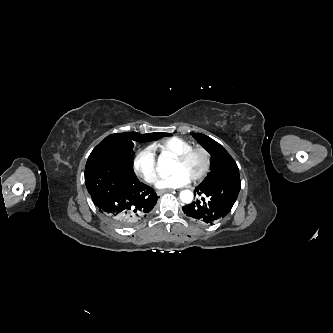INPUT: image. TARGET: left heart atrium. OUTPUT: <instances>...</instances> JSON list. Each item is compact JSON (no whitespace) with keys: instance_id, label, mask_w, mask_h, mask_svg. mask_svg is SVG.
I'll list each match as a JSON object with an SVG mask.
<instances>
[{"instance_id":"39dd6f15","label":"left heart atrium","mask_w":333,"mask_h":333,"mask_svg":"<svg viewBox=\"0 0 333 333\" xmlns=\"http://www.w3.org/2000/svg\"><path fill=\"white\" fill-rule=\"evenodd\" d=\"M190 178L182 171H177L170 176L160 179L157 183L158 188H179L187 185Z\"/></svg>"}]
</instances>
